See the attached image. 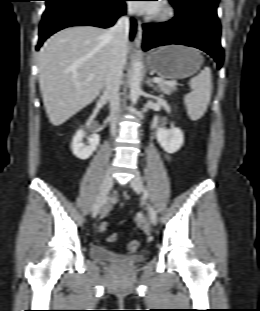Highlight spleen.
<instances>
[{"label":"spleen","instance_id":"obj_1","mask_svg":"<svg viewBox=\"0 0 260 311\" xmlns=\"http://www.w3.org/2000/svg\"><path fill=\"white\" fill-rule=\"evenodd\" d=\"M191 92L186 94L184 102L191 120L200 119L207 110L212 93L211 69L205 67L198 75L190 79Z\"/></svg>","mask_w":260,"mask_h":311}]
</instances>
